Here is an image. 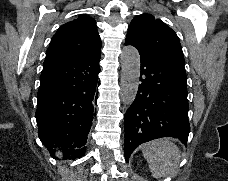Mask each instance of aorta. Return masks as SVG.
Listing matches in <instances>:
<instances>
[{
    "mask_svg": "<svg viewBox=\"0 0 228 181\" xmlns=\"http://www.w3.org/2000/svg\"><path fill=\"white\" fill-rule=\"evenodd\" d=\"M140 77V55L138 50L125 46L121 53L120 97L125 106H130L136 98Z\"/></svg>",
    "mask_w": 228,
    "mask_h": 181,
    "instance_id": "obj_1",
    "label": "aorta"
}]
</instances>
